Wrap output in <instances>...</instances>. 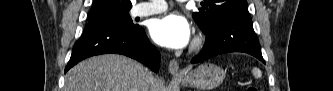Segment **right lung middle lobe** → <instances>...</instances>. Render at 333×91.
I'll use <instances>...</instances> for the list:
<instances>
[{
    "instance_id": "dd1d6c3e",
    "label": "right lung middle lobe",
    "mask_w": 333,
    "mask_h": 91,
    "mask_svg": "<svg viewBox=\"0 0 333 91\" xmlns=\"http://www.w3.org/2000/svg\"><path fill=\"white\" fill-rule=\"evenodd\" d=\"M88 24L123 26V27H137V26H139L138 24H135L132 21L128 11L120 13V14L112 15V16L96 18V19H89Z\"/></svg>"
}]
</instances>
